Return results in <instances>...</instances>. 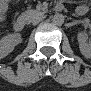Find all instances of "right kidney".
<instances>
[{"label": "right kidney", "mask_w": 91, "mask_h": 91, "mask_svg": "<svg viewBox=\"0 0 91 91\" xmlns=\"http://www.w3.org/2000/svg\"><path fill=\"white\" fill-rule=\"evenodd\" d=\"M21 42V35L19 33L9 34L0 40V56L6 57L14 50V47Z\"/></svg>", "instance_id": "1"}]
</instances>
